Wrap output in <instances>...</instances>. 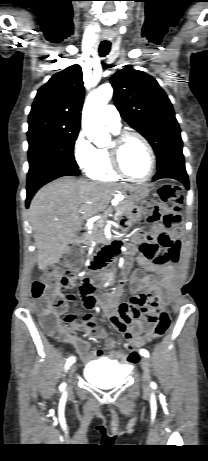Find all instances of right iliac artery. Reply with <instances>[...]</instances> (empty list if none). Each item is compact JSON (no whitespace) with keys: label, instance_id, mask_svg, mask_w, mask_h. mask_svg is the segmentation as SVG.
Masks as SVG:
<instances>
[{"label":"right iliac artery","instance_id":"obj_1","mask_svg":"<svg viewBox=\"0 0 208 461\" xmlns=\"http://www.w3.org/2000/svg\"><path fill=\"white\" fill-rule=\"evenodd\" d=\"M75 358L74 357H70L68 360H67V363L65 365V368L68 369L70 367L71 364H73ZM66 384L63 383L60 385V389L63 390L65 388Z\"/></svg>","mask_w":208,"mask_h":461}]
</instances>
